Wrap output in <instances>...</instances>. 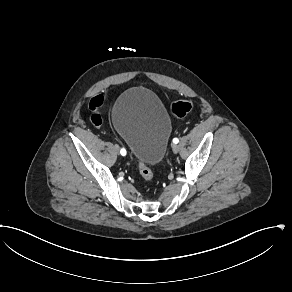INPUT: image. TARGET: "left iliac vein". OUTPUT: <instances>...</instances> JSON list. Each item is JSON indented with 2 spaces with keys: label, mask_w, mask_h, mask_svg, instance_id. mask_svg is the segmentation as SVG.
Masks as SVG:
<instances>
[{
  "label": "left iliac vein",
  "mask_w": 292,
  "mask_h": 292,
  "mask_svg": "<svg viewBox=\"0 0 292 292\" xmlns=\"http://www.w3.org/2000/svg\"><path fill=\"white\" fill-rule=\"evenodd\" d=\"M179 149H180L179 146L176 145V144H174V145L172 146V150H173L174 153H178Z\"/></svg>",
  "instance_id": "left-iliac-vein-1"
}]
</instances>
